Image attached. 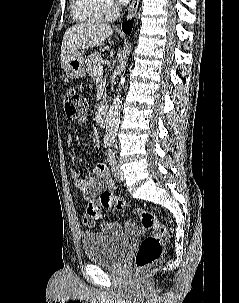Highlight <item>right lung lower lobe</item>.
<instances>
[{
  "mask_svg": "<svg viewBox=\"0 0 239 303\" xmlns=\"http://www.w3.org/2000/svg\"><path fill=\"white\" fill-rule=\"evenodd\" d=\"M132 26H133V20L130 22H123L122 24V29L126 34H130L131 30H132Z\"/></svg>",
  "mask_w": 239,
  "mask_h": 303,
  "instance_id": "1",
  "label": "right lung lower lobe"
}]
</instances>
